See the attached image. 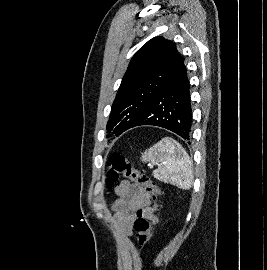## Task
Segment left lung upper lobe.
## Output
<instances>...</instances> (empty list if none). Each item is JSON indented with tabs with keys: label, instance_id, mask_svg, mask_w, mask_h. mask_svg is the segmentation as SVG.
<instances>
[{
	"label": "left lung upper lobe",
	"instance_id": "left-lung-upper-lobe-1",
	"mask_svg": "<svg viewBox=\"0 0 267 270\" xmlns=\"http://www.w3.org/2000/svg\"><path fill=\"white\" fill-rule=\"evenodd\" d=\"M179 57L175 44L160 36L135 53L113 102L108 131L119 136L134 124L166 84Z\"/></svg>",
	"mask_w": 267,
	"mask_h": 270
}]
</instances>
